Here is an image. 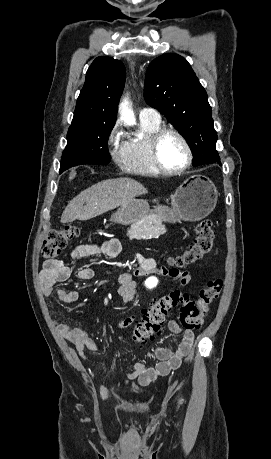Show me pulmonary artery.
<instances>
[{"label": "pulmonary artery", "instance_id": "pulmonary-artery-1", "mask_svg": "<svg viewBox=\"0 0 271 459\" xmlns=\"http://www.w3.org/2000/svg\"><path fill=\"white\" fill-rule=\"evenodd\" d=\"M140 119L158 123L161 120L160 114L152 108H143L139 112Z\"/></svg>", "mask_w": 271, "mask_h": 459}]
</instances>
